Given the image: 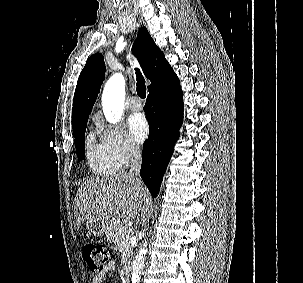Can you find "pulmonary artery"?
Instances as JSON below:
<instances>
[{"instance_id": "pulmonary-artery-1", "label": "pulmonary artery", "mask_w": 303, "mask_h": 283, "mask_svg": "<svg viewBox=\"0 0 303 283\" xmlns=\"http://www.w3.org/2000/svg\"><path fill=\"white\" fill-rule=\"evenodd\" d=\"M129 107L134 111H138V110L142 109L143 104H142V101L138 97H132L129 101Z\"/></svg>"}]
</instances>
